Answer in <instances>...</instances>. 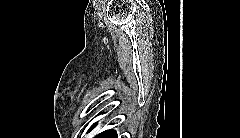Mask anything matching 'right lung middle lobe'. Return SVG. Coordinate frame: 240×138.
Instances as JSON below:
<instances>
[{
  "label": "right lung middle lobe",
  "instance_id": "obj_1",
  "mask_svg": "<svg viewBox=\"0 0 240 138\" xmlns=\"http://www.w3.org/2000/svg\"><path fill=\"white\" fill-rule=\"evenodd\" d=\"M95 126H96V123L91 126V128L89 129V131H91Z\"/></svg>",
  "mask_w": 240,
  "mask_h": 138
}]
</instances>
